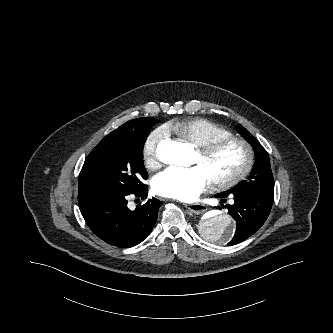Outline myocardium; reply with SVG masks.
Listing matches in <instances>:
<instances>
[{
	"mask_svg": "<svg viewBox=\"0 0 333 333\" xmlns=\"http://www.w3.org/2000/svg\"><path fill=\"white\" fill-rule=\"evenodd\" d=\"M229 144H236L242 148L244 153V161L241 167L236 172L226 177L212 179L211 180L212 184L217 188H229L235 186L236 184H238L247 177V175L250 173L254 165L253 148L250 145V143L247 142L245 139L235 136H227L219 138L197 147L198 153L203 158H207L212 156L221 148Z\"/></svg>",
	"mask_w": 333,
	"mask_h": 333,
	"instance_id": "obj_1",
	"label": "myocardium"
}]
</instances>
